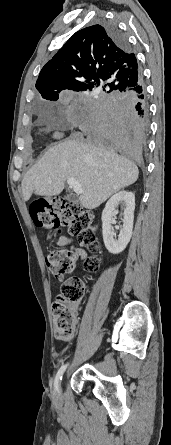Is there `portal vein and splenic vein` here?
I'll return each mask as SVG.
<instances>
[{"mask_svg":"<svg viewBox=\"0 0 171 445\" xmlns=\"http://www.w3.org/2000/svg\"><path fill=\"white\" fill-rule=\"evenodd\" d=\"M67 183H68L69 187L74 190V192L76 194H82L83 193V190H82L79 182L76 179L69 178V179H67Z\"/></svg>","mask_w":171,"mask_h":445,"instance_id":"1","label":"portal vein and splenic vein"}]
</instances>
